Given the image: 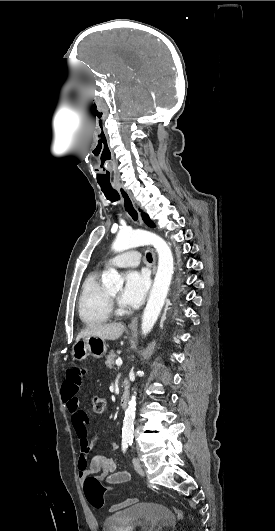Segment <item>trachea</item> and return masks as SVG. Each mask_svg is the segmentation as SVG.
I'll return each instance as SVG.
<instances>
[{
	"label": "trachea",
	"mask_w": 275,
	"mask_h": 531,
	"mask_svg": "<svg viewBox=\"0 0 275 531\" xmlns=\"http://www.w3.org/2000/svg\"><path fill=\"white\" fill-rule=\"evenodd\" d=\"M101 189L107 199H109L112 202L119 201L120 199L119 193L116 191V189H113L112 186L101 187ZM147 260L152 261V256L150 253H147Z\"/></svg>",
	"instance_id": "trachea-1"
}]
</instances>
